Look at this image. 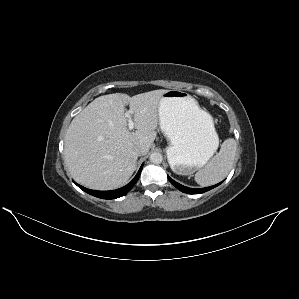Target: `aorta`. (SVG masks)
I'll list each match as a JSON object with an SVG mask.
<instances>
[{"instance_id": "obj_1", "label": "aorta", "mask_w": 299, "mask_h": 299, "mask_svg": "<svg viewBox=\"0 0 299 299\" xmlns=\"http://www.w3.org/2000/svg\"><path fill=\"white\" fill-rule=\"evenodd\" d=\"M150 162L153 163V164H160L163 160V157L160 153L158 152H154L150 155V158H149Z\"/></svg>"}]
</instances>
